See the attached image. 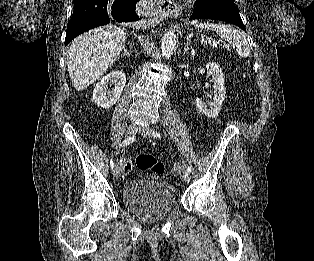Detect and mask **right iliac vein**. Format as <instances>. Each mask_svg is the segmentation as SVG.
Here are the masks:
<instances>
[{
	"instance_id": "right-iliac-vein-1",
	"label": "right iliac vein",
	"mask_w": 314,
	"mask_h": 261,
	"mask_svg": "<svg viewBox=\"0 0 314 261\" xmlns=\"http://www.w3.org/2000/svg\"><path fill=\"white\" fill-rule=\"evenodd\" d=\"M137 132V125L136 124H131L128 128H127V135L128 136H133L135 133ZM113 175L116 178H119L121 175V170L120 167L118 165H116L113 169Z\"/></svg>"
}]
</instances>
